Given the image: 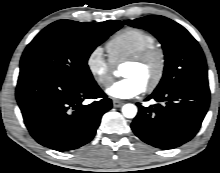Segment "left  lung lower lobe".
Wrapping results in <instances>:
<instances>
[{
    "mask_svg": "<svg viewBox=\"0 0 220 173\" xmlns=\"http://www.w3.org/2000/svg\"><path fill=\"white\" fill-rule=\"evenodd\" d=\"M165 102L143 107L131 124L135 135L161 149H173L191 140L198 132L210 103L208 85H181L153 92L146 100Z\"/></svg>",
    "mask_w": 220,
    "mask_h": 173,
    "instance_id": "1",
    "label": "left lung lower lobe"
}]
</instances>
